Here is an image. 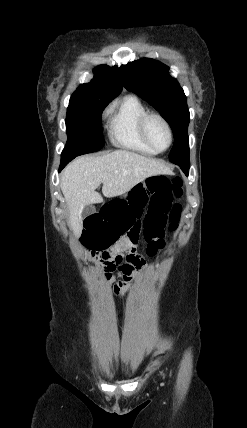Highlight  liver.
<instances>
[{
	"label": "liver",
	"instance_id": "1",
	"mask_svg": "<svg viewBox=\"0 0 247 428\" xmlns=\"http://www.w3.org/2000/svg\"><path fill=\"white\" fill-rule=\"evenodd\" d=\"M170 172L163 162L127 150L75 159L63 171L60 184L74 234L81 232L84 207L103 202L96 192L100 184L103 195L111 198L127 193L148 177Z\"/></svg>",
	"mask_w": 247,
	"mask_h": 428
}]
</instances>
